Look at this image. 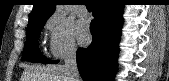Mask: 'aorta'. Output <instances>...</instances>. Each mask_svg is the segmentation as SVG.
Here are the masks:
<instances>
[{
    "instance_id": "obj_1",
    "label": "aorta",
    "mask_w": 169,
    "mask_h": 81,
    "mask_svg": "<svg viewBox=\"0 0 169 81\" xmlns=\"http://www.w3.org/2000/svg\"><path fill=\"white\" fill-rule=\"evenodd\" d=\"M56 13L62 16H67L69 13V9L66 8L65 5H58L56 8Z\"/></svg>"
}]
</instances>
